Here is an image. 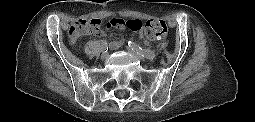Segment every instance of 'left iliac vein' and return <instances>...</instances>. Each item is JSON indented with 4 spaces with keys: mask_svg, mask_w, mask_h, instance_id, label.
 Wrapping results in <instances>:
<instances>
[{
    "mask_svg": "<svg viewBox=\"0 0 255 122\" xmlns=\"http://www.w3.org/2000/svg\"><path fill=\"white\" fill-rule=\"evenodd\" d=\"M128 51H130L135 57H137L139 60L144 61L145 57L141 55L139 52L132 50L131 48H127Z\"/></svg>",
    "mask_w": 255,
    "mask_h": 122,
    "instance_id": "left-iliac-vein-1",
    "label": "left iliac vein"
}]
</instances>
